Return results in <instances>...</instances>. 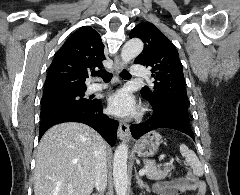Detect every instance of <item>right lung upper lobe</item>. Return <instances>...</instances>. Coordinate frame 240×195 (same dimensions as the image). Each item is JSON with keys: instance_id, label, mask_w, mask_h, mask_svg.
<instances>
[{"instance_id": "cb5924a9", "label": "right lung upper lobe", "mask_w": 240, "mask_h": 195, "mask_svg": "<svg viewBox=\"0 0 240 195\" xmlns=\"http://www.w3.org/2000/svg\"><path fill=\"white\" fill-rule=\"evenodd\" d=\"M104 45L97 31L81 27L57 52L45 80L44 94L86 89L88 72L103 67Z\"/></svg>"}]
</instances>
